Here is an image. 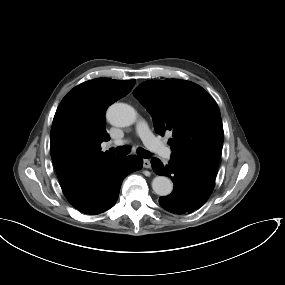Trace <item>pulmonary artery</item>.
Wrapping results in <instances>:
<instances>
[{"mask_svg":"<svg viewBox=\"0 0 285 285\" xmlns=\"http://www.w3.org/2000/svg\"><path fill=\"white\" fill-rule=\"evenodd\" d=\"M137 132L139 136L142 138L144 144L151 149L152 151L156 152L162 158L168 160L172 157L173 151L171 148L166 146L163 141L159 138L154 136L148 126L145 123H140L137 127ZM123 144V141L116 140L112 142L113 146H119Z\"/></svg>","mask_w":285,"mask_h":285,"instance_id":"1","label":"pulmonary artery"}]
</instances>
